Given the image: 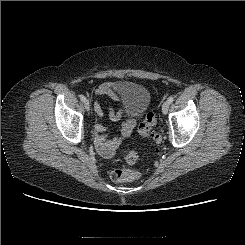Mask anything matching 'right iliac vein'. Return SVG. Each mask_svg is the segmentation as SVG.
I'll return each mask as SVG.
<instances>
[{
  "instance_id": "obj_1",
  "label": "right iliac vein",
  "mask_w": 245,
  "mask_h": 245,
  "mask_svg": "<svg viewBox=\"0 0 245 245\" xmlns=\"http://www.w3.org/2000/svg\"><path fill=\"white\" fill-rule=\"evenodd\" d=\"M84 106H85V109H86L87 111L90 110V103H89L88 100H86V101L84 102Z\"/></svg>"
}]
</instances>
